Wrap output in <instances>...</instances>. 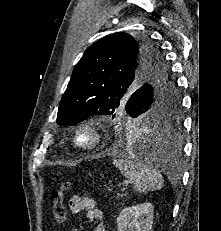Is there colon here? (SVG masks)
Listing matches in <instances>:
<instances>
[{"label":"colon","mask_w":221,"mask_h":231,"mask_svg":"<svg viewBox=\"0 0 221 231\" xmlns=\"http://www.w3.org/2000/svg\"><path fill=\"white\" fill-rule=\"evenodd\" d=\"M71 189V183L62 184L53 192V217L57 223H62L66 219L65 195Z\"/></svg>","instance_id":"colon-1"}]
</instances>
